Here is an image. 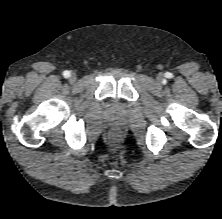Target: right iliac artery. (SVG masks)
<instances>
[{
    "instance_id": "82829eb1",
    "label": "right iliac artery",
    "mask_w": 222,
    "mask_h": 219,
    "mask_svg": "<svg viewBox=\"0 0 222 219\" xmlns=\"http://www.w3.org/2000/svg\"><path fill=\"white\" fill-rule=\"evenodd\" d=\"M63 76L65 77V78H68L69 76H70V72L69 71H64L63 72Z\"/></svg>"
}]
</instances>
